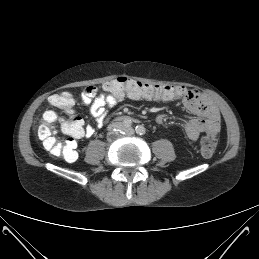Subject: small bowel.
<instances>
[{
  "mask_svg": "<svg viewBox=\"0 0 259 259\" xmlns=\"http://www.w3.org/2000/svg\"><path fill=\"white\" fill-rule=\"evenodd\" d=\"M163 89V93L160 96L148 98L147 100L162 102L181 101L184 107L195 116L186 120L183 124L185 134L190 140H197L201 134L217 135L220 129V115L217 107L209 98L201 95L197 90L184 86H163ZM126 97L140 99L126 93H101L97 95V88L88 86L82 93V102L84 105L90 106L92 116L99 125H102L107 116V110L117 102L123 101ZM51 99L52 96L49 98L50 103ZM63 109L68 114H72V101L70 100L68 105ZM166 118V114H159L156 117V122L162 124ZM94 132L95 130L92 126L83 127L82 134L79 138H89L94 135Z\"/></svg>",
  "mask_w": 259,
  "mask_h": 259,
  "instance_id": "small-bowel-1",
  "label": "small bowel"
}]
</instances>
